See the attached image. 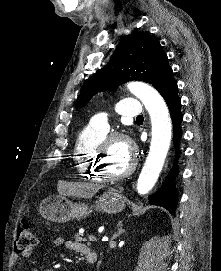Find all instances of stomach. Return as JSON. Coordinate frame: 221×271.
Instances as JSON below:
<instances>
[{
    "label": "stomach",
    "mask_w": 221,
    "mask_h": 271,
    "mask_svg": "<svg viewBox=\"0 0 221 271\" xmlns=\"http://www.w3.org/2000/svg\"><path fill=\"white\" fill-rule=\"evenodd\" d=\"M40 211L45 219L50 221H69V219H84L92 211H106V213H119L125 207V201L117 189L110 187L104 191L94 205L88 203H73L66 197H45Z\"/></svg>",
    "instance_id": "obj_1"
}]
</instances>
